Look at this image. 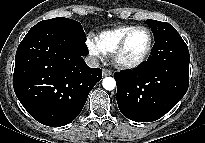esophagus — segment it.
<instances>
[{"label": "esophagus", "instance_id": "obj_1", "mask_svg": "<svg viewBox=\"0 0 205 143\" xmlns=\"http://www.w3.org/2000/svg\"><path fill=\"white\" fill-rule=\"evenodd\" d=\"M102 74H103V76H110V75H112V71L104 68L102 70Z\"/></svg>", "mask_w": 205, "mask_h": 143}]
</instances>
